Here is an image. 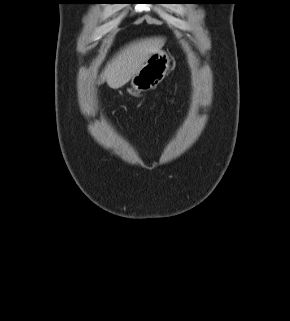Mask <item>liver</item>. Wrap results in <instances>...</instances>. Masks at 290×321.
Returning a JSON list of instances; mask_svg holds the SVG:
<instances>
[{
  "label": "liver",
  "instance_id": "obj_1",
  "mask_svg": "<svg viewBox=\"0 0 290 321\" xmlns=\"http://www.w3.org/2000/svg\"><path fill=\"white\" fill-rule=\"evenodd\" d=\"M164 38H149L130 43L108 62L101 81L118 89L130 81L147 59L164 45Z\"/></svg>",
  "mask_w": 290,
  "mask_h": 321
}]
</instances>
